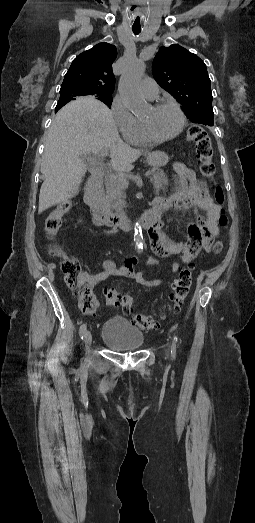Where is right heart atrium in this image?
<instances>
[{"mask_svg":"<svg viewBox=\"0 0 255 523\" xmlns=\"http://www.w3.org/2000/svg\"><path fill=\"white\" fill-rule=\"evenodd\" d=\"M111 117L123 137H127L136 123V118L126 106L120 95H116L109 107Z\"/></svg>","mask_w":255,"mask_h":523,"instance_id":"d8ad5b80","label":"right heart atrium"}]
</instances>
